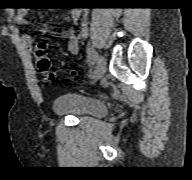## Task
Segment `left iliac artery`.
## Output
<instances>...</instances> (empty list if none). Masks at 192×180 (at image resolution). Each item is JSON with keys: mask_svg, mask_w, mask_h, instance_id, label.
I'll list each match as a JSON object with an SVG mask.
<instances>
[{"mask_svg": "<svg viewBox=\"0 0 192 180\" xmlns=\"http://www.w3.org/2000/svg\"><path fill=\"white\" fill-rule=\"evenodd\" d=\"M88 55H89V59L91 60V63L94 65V63L96 61L97 53H96L95 49L91 46H89V48H88Z\"/></svg>", "mask_w": 192, "mask_h": 180, "instance_id": "obj_1", "label": "left iliac artery"}]
</instances>
